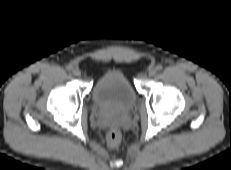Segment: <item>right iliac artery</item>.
<instances>
[{"instance_id":"1","label":"right iliac artery","mask_w":231,"mask_h":170,"mask_svg":"<svg viewBox=\"0 0 231 170\" xmlns=\"http://www.w3.org/2000/svg\"><path fill=\"white\" fill-rule=\"evenodd\" d=\"M66 69H67L68 71H71V70H72V66L68 65V66L66 67Z\"/></svg>"}]
</instances>
